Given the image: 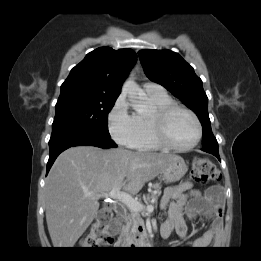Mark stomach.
<instances>
[{
	"label": "stomach",
	"instance_id": "obj_1",
	"mask_svg": "<svg viewBox=\"0 0 261 261\" xmlns=\"http://www.w3.org/2000/svg\"><path fill=\"white\" fill-rule=\"evenodd\" d=\"M188 167L183 158L176 156L161 172L162 178L168 183L179 181L187 172Z\"/></svg>",
	"mask_w": 261,
	"mask_h": 261
}]
</instances>
